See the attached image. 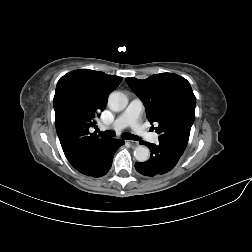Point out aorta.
<instances>
[{
	"mask_svg": "<svg viewBox=\"0 0 252 252\" xmlns=\"http://www.w3.org/2000/svg\"><path fill=\"white\" fill-rule=\"evenodd\" d=\"M128 99L122 92H112L108 97V106L113 111H122L126 108ZM134 157L139 162H145L150 157V151L146 146H137L134 150Z\"/></svg>",
	"mask_w": 252,
	"mask_h": 252,
	"instance_id": "762f6f07",
	"label": "aorta"
}]
</instances>
